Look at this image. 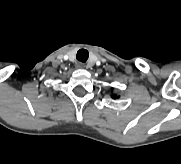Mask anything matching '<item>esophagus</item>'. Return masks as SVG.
Listing matches in <instances>:
<instances>
[{"label":"esophagus","mask_w":181,"mask_h":164,"mask_svg":"<svg viewBox=\"0 0 181 164\" xmlns=\"http://www.w3.org/2000/svg\"><path fill=\"white\" fill-rule=\"evenodd\" d=\"M76 67H77V68H80V69H83V68H85L86 66H85V64L82 63V62H78V63H76Z\"/></svg>","instance_id":"obj_1"}]
</instances>
